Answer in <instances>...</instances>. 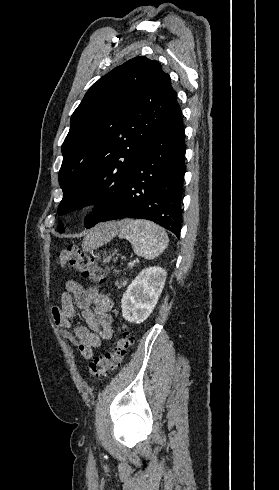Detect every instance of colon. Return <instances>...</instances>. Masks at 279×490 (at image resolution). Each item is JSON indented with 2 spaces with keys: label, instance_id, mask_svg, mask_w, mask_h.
<instances>
[{
  "label": "colon",
  "instance_id": "1",
  "mask_svg": "<svg viewBox=\"0 0 279 490\" xmlns=\"http://www.w3.org/2000/svg\"><path fill=\"white\" fill-rule=\"evenodd\" d=\"M61 265H69L75 268L83 277L92 283H103L106 279L105 271L98 262L81 249L76 244H69L58 256ZM132 337L123 334L117 338L113 351L103 357L92 358L87 365V377L94 380L100 376L107 375L112 369L120 366L122 360L127 355Z\"/></svg>",
  "mask_w": 279,
  "mask_h": 490
}]
</instances>
